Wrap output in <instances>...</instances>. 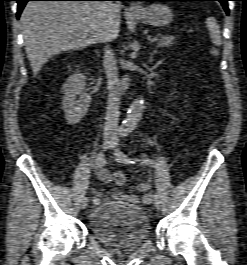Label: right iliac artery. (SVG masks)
Here are the masks:
<instances>
[{
  "instance_id": "82829eb1",
  "label": "right iliac artery",
  "mask_w": 247,
  "mask_h": 265,
  "mask_svg": "<svg viewBox=\"0 0 247 265\" xmlns=\"http://www.w3.org/2000/svg\"><path fill=\"white\" fill-rule=\"evenodd\" d=\"M95 162H96V166L99 168L103 167L106 164V159L102 152L97 155ZM99 203H100V200L98 198H94L92 200L93 205H98Z\"/></svg>"
}]
</instances>
